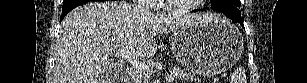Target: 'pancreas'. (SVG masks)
Segmentation results:
<instances>
[{"instance_id":"obj_1","label":"pancreas","mask_w":307,"mask_h":83,"mask_svg":"<svg viewBox=\"0 0 307 83\" xmlns=\"http://www.w3.org/2000/svg\"><path fill=\"white\" fill-rule=\"evenodd\" d=\"M171 75L179 80L191 81V82L198 81V83L201 82V80L195 78L194 75H192L189 72L181 70V68H174L171 72ZM146 80L147 78L141 74L137 77V83H146L147 82Z\"/></svg>"}]
</instances>
